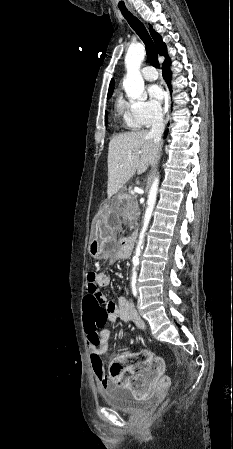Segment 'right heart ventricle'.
<instances>
[{
    "instance_id": "e07e8e85",
    "label": "right heart ventricle",
    "mask_w": 233,
    "mask_h": 449,
    "mask_svg": "<svg viewBox=\"0 0 233 449\" xmlns=\"http://www.w3.org/2000/svg\"><path fill=\"white\" fill-rule=\"evenodd\" d=\"M115 112L119 117L123 128L138 130L141 127V123L134 112V102L127 101L122 95H119L116 98Z\"/></svg>"
}]
</instances>
